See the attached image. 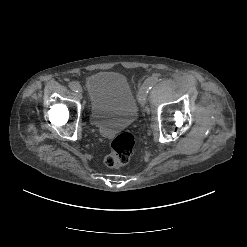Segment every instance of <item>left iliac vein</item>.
I'll return each instance as SVG.
<instances>
[{
	"label": "left iliac vein",
	"instance_id": "obj_1",
	"mask_svg": "<svg viewBox=\"0 0 247 247\" xmlns=\"http://www.w3.org/2000/svg\"><path fill=\"white\" fill-rule=\"evenodd\" d=\"M139 100H140V103L142 104V106L145 104L146 102V98L148 96V91L147 89L143 86L141 87L140 91H139Z\"/></svg>",
	"mask_w": 247,
	"mask_h": 247
}]
</instances>
